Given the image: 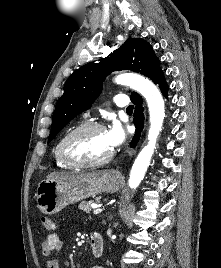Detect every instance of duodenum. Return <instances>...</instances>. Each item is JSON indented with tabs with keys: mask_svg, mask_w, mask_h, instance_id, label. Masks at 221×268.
<instances>
[{
	"mask_svg": "<svg viewBox=\"0 0 221 268\" xmlns=\"http://www.w3.org/2000/svg\"><path fill=\"white\" fill-rule=\"evenodd\" d=\"M91 251L95 257H101L103 255L104 239L98 232H94L91 235Z\"/></svg>",
	"mask_w": 221,
	"mask_h": 268,
	"instance_id": "410a0bca",
	"label": "duodenum"
}]
</instances>
